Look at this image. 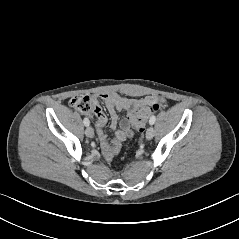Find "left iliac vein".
<instances>
[{
	"instance_id": "left-iliac-vein-1",
	"label": "left iliac vein",
	"mask_w": 239,
	"mask_h": 239,
	"mask_svg": "<svg viewBox=\"0 0 239 239\" xmlns=\"http://www.w3.org/2000/svg\"><path fill=\"white\" fill-rule=\"evenodd\" d=\"M155 130L153 126H150L146 131V139L151 140L154 137Z\"/></svg>"
}]
</instances>
